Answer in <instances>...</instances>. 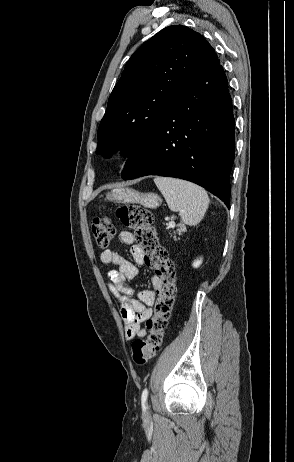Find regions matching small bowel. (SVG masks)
Masks as SVG:
<instances>
[{"instance_id":"obj_1","label":"small bowel","mask_w":294,"mask_h":462,"mask_svg":"<svg viewBox=\"0 0 294 462\" xmlns=\"http://www.w3.org/2000/svg\"><path fill=\"white\" fill-rule=\"evenodd\" d=\"M119 238L123 245L131 247L130 251L135 263L142 264L143 252L134 244V235L129 231H122ZM100 260L103 264L113 266L108 273V288L119 300L126 339L132 340L144 336L146 330L142 323L152 316V305L156 300V292L161 288V279L153 275L151 277L152 289L136 293L129 284V281L134 279L138 273L135 264L110 249L101 252Z\"/></svg>"}]
</instances>
